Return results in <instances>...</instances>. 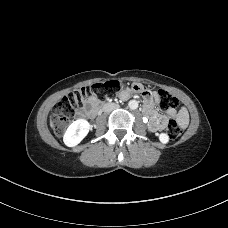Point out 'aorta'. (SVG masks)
Instances as JSON below:
<instances>
[{"label":"aorta","instance_id":"762f6f07","mask_svg":"<svg viewBox=\"0 0 228 228\" xmlns=\"http://www.w3.org/2000/svg\"><path fill=\"white\" fill-rule=\"evenodd\" d=\"M128 106L130 109L135 110L138 108V102L136 100H130Z\"/></svg>","mask_w":228,"mask_h":228}]
</instances>
